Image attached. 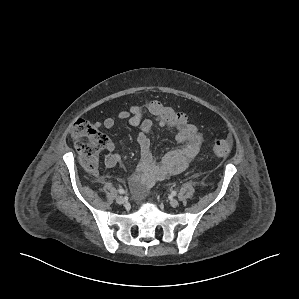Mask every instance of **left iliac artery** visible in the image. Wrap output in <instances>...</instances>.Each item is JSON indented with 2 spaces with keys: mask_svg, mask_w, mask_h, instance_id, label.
<instances>
[{
  "mask_svg": "<svg viewBox=\"0 0 299 299\" xmlns=\"http://www.w3.org/2000/svg\"><path fill=\"white\" fill-rule=\"evenodd\" d=\"M177 192L176 191H172L171 195L172 196H176Z\"/></svg>",
  "mask_w": 299,
  "mask_h": 299,
  "instance_id": "left-iliac-artery-1",
  "label": "left iliac artery"
}]
</instances>
